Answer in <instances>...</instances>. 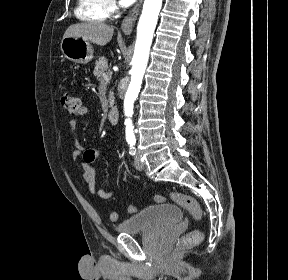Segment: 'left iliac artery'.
Here are the masks:
<instances>
[{"instance_id":"44dca946","label":"left iliac artery","mask_w":288,"mask_h":280,"mask_svg":"<svg viewBox=\"0 0 288 280\" xmlns=\"http://www.w3.org/2000/svg\"><path fill=\"white\" fill-rule=\"evenodd\" d=\"M128 143H129L130 147H131L132 149H134L135 142L130 141V142H128ZM130 154H131V155H134V154H135V151H134V150L130 151Z\"/></svg>"}]
</instances>
